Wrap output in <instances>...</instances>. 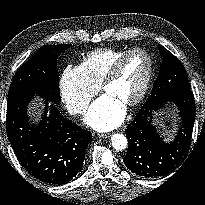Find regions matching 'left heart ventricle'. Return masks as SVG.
I'll return each instance as SVG.
<instances>
[{"instance_id":"b2bd125f","label":"left heart ventricle","mask_w":205,"mask_h":205,"mask_svg":"<svg viewBox=\"0 0 205 205\" xmlns=\"http://www.w3.org/2000/svg\"><path fill=\"white\" fill-rule=\"evenodd\" d=\"M148 68L149 61L144 54L132 55L124 62L119 76L106 87L104 92L125 105L139 93Z\"/></svg>"}]
</instances>
